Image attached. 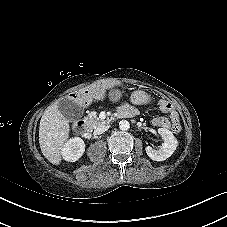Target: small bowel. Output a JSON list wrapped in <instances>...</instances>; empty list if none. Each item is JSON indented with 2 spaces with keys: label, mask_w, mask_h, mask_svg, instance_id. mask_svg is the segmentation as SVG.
<instances>
[{
  "label": "small bowel",
  "mask_w": 227,
  "mask_h": 227,
  "mask_svg": "<svg viewBox=\"0 0 227 227\" xmlns=\"http://www.w3.org/2000/svg\"><path fill=\"white\" fill-rule=\"evenodd\" d=\"M160 109L163 112L170 113L171 122L164 117H155L151 121L153 126L158 128H172L173 130L175 127H178V128L180 127L179 116L176 110L169 102L167 101L162 102L160 105ZM120 111H123L125 113H131L133 115L136 113V110L132 106H129L126 104L120 107Z\"/></svg>",
  "instance_id": "obj_1"
}]
</instances>
